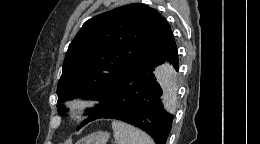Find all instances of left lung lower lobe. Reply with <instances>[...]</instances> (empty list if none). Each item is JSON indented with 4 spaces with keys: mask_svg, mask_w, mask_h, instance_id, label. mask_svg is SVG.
I'll return each instance as SVG.
<instances>
[{
    "mask_svg": "<svg viewBox=\"0 0 260 144\" xmlns=\"http://www.w3.org/2000/svg\"><path fill=\"white\" fill-rule=\"evenodd\" d=\"M162 61L179 68L176 43L130 69L111 94L108 107L96 119H115L134 125L148 133L156 144H166L174 115L169 112V91L161 88L154 67Z\"/></svg>",
    "mask_w": 260,
    "mask_h": 144,
    "instance_id": "1",
    "label": "left lung lower lobe"
}]
</instances>
